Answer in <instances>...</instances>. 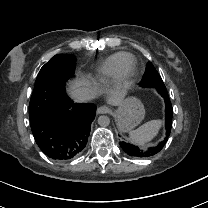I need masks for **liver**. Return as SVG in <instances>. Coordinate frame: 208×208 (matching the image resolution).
Wrapping results in <instances>:
<instances>
[{
    "label": "liver",
    "mask_w": 208,
    "mask_h": 208,
    "mask_svg": "<svg viewBox=\"0 0 208 208\" xmlns=\"http://www.w3.org/2000/svg\"><path fill=\"white\" fill-rule=\"evenodd\" d=\"M77 87H78V85L76 84L72 88V91H74ZM125 96H126L125 92H119L113 98H111L109 100V103L112 104V105H115V106L121 105L123 103V100H124Z\"/></svg>",
    "instance_id": "obj_1"
}]
</instances>
